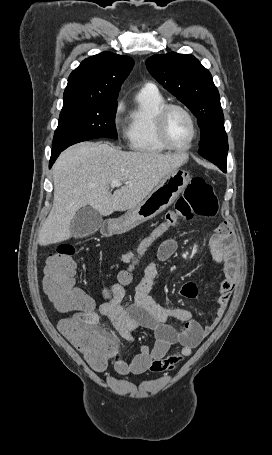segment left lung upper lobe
I'll return each instance as SVG.
<instances>
[{"label": "left lung upper lobe", "instance_id": "1", "mask_svg": "<svg viewBox=\"0 0 272 455\" xmlns=\"http://www.w3.org/2000/svg\"><path fill=\"white\" fill-rule=\"evenodd\" d=\"M150 74L197 117L201 129L199 154L228 152L219 92L210 72L191 54L175 52L146 60Z\"/></svg>", "mask_w": 272, "mask_h": 455}]
</instances>
